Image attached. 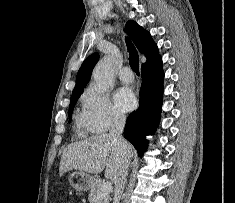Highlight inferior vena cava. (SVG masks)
Here are the masks:
<instances>
[{"mask_svg": "<svg viewBox=\"0 0 235 203\" xmlns=\"http://www.w3.org/2000/svg\"><path fill=\"white\" fill-rule=\"evenodd\" d=\"M125 116L121 114H116L113 118V123L109 135L116 141L119 142L125 154H127L128 143L121 136L124 126H125ZM129 160L126 158L119 174L118 179L115 182V191L113 203H119L121 195L126 185L127 175H128Z\"/></svg>", "mask_w": 235, "mask_h": 203, "instance_id": "1", "label": "inferior vena cava"}]
</instances>
